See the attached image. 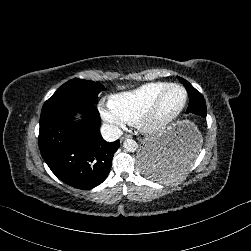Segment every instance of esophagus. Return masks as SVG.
<instances>
[{
	"label": "esophagus",
	"mask_w": 251,
	"mask_h": 251,
	"mask_svg": "<svg viewBox=\"0 0 251 251\" xmlns=\"http://www.w3.org/2000/svg\"><path fill=\"white\" fill-rule=\"evenodd\" d=\"M130 137H131L130 135H127V134H126V135H124L123 137H121V139H120V140L122 141V140H124V139H128V138H130Z\"/></svg>",
	"instance_id": "34e87169"
}]
</instances>
